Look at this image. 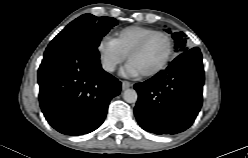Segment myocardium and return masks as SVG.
<instances>
[{
  "instance_id": "f54148a6",
  "label": "myocardium",
  "mask_w": 248,
  "mask_h": 158,
  "mask_svg": "<svg viewBox=\"0 0 248 158\" xmlns=\"http://www.w3.org/2000/svg\"><path fill=\"white\" fill-rule=\"evenodd\" d=\"M155 35H161L163 37H165V39L167 40L168 42V51H167V54H166V57L165 59L163 60V62L158 66L156 67L155 69L149 71V72H145V73H141L142 76L144 77H152V76H155L157 74H159L160 72H162L169 64L171 58H172V55H173V51H174V44H173V40L171 38V36L164 32V31H153L147 35H145L128 53L127 55V58L130 60L131 57L133 55H135L136 53H138L139 51H141L144 46L147 44V42Z\"/></svg>"
}]
</instances>
